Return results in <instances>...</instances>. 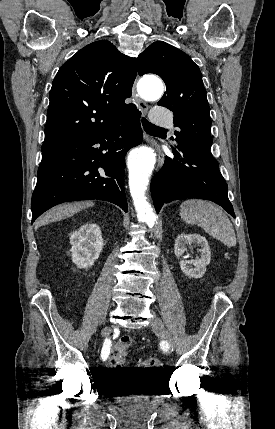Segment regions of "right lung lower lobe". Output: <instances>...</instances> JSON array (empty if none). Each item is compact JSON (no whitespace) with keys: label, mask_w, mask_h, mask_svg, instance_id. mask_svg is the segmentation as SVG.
<instances>
[{"label":"right lung lower lobe","mask_w":275,"mask_h":429,"mask_svg":"<svg viewBox=\"0 0 275 429\" xmlns=\"http://www.w3.org/2000/svg\"><path fill=\"white\" fill-rule=\"evenodd\" d=\"M139 117L138 111L118 125L44 152L31 200L32 223L51 207L75 200H105L127 212L125 156L142 142Z\"/></svg>","instance_id":"right-lung-lower-lobe-1"}]
</instances>
